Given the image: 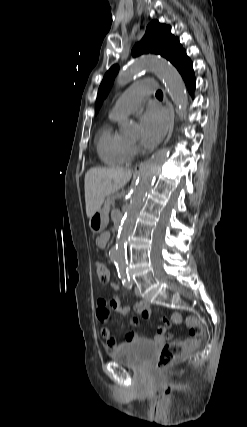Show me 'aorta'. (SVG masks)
<instances>
[{"label": "aorta", "instance_id": "aorta-1", "mask_svg": "<svg viewBox=\"0 0 247 427\" xmlns=\"http://www.w3.org/2000/svg\"><path fill=\"white\" fill-rule=\"evenodd\" d=\"M152 70L161 78L174 103L181 112L188 106V95L184 82L178 71L167 62L153 56H143L133 60L126 68L120 71L116 79L117 88L127 85L133 78L144 71ZM121 132L132 135L136 132V125L128 119L120 120ZM171 149L158 151L151 160L144 164L135 188L132 191L129 206L122 218L118 230L116 245L110 250L109 256L114 261L118 272L125 273L126 247L134 226L135 218L142 207L152 183L160 172L162 165L168 159Z\"/></svg>", "mask_w": 247, "mask_h": 427}]
</instances>
